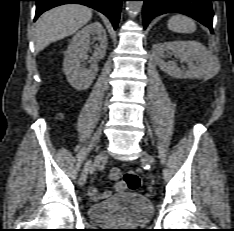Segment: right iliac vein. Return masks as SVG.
I'll return each instance as SVG.
<instances>
[{
    "label": "right iliac vein",
    "mask_w": 234,
    "mask_h": 231,
    "mask_svg": "<svg viewBox=\"0 0 234 231\" xmlns=\"http://www.w3.org/2000/svg\"><path fill=\"white\" fill-rule=\"evenodd\" d=\"M106 157H107L106 151L103 150L95 157L94 161L89 160L86 162L84 169L79 178L80 186H83L85 184L87 173L89 172V170H91L92 168L96 169Z\"/></svg>",
    "instance_id": "obj_1"
}]
</instances>
